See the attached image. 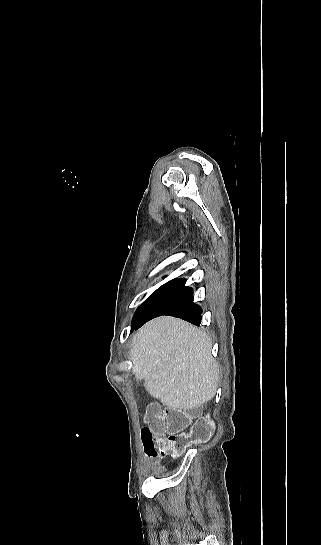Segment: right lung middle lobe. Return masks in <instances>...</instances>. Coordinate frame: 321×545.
<instances>
[{"label": "right lung middle lobe", "mask_w": 321, "mask_h": 545, "mask_svg": "<svg viewBox=\"0 0 321 545\" xmlns=\"http://www.w3.org/2000/svg\"><path fill=\"white\" fill-rule=\"evenodd\" d=\"M158 290L153 292L151 294V296L149 298H147V300L138 307V309H137V311H136V313L134 315V319H136L144 311V309L149 305V303L151 302V300L153 299L155 294L158 292Z\"/></svg>", "instance_id": "right-lung-middle-lobe-1"}]
</instances>
